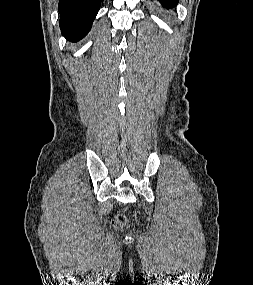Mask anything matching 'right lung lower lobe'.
Instances as JSON below:
<instances>
[{
  "label": "right lung lower lobe",
  "mask_w": 253,
  "mask_h": 285,
  "mask_svg": "<svg viewBox=\"0 0 253 285\" xmlns=\"http://www.w3.org/2000/svg\"><path fill=\"white\" fill-rule=\"evenodd\" d=\"M101 0H59V25L62 34L70 41L83 38L91 29Z\"/></svg>",
  "instance_id": "1"
}]
</instances>
